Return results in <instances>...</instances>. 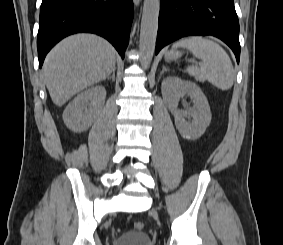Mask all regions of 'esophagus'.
I'll use <instances>...</instances> for the list:
<instances>
[{
	"instance_id": "34e87169",
	"label": "esophagus",
	"mask_w": 283,
	"mask_h": 245,
	"mask_svg": "<svg viewBox=\"0 0 283 245\" xmlns=\"http://www.w3.org/2000/svg\"><path fill=\"white\" fill-rule=\"evenodd\" d=\"M140 1H141V0H134V3H135L136 5H138V4L140 3Z\"/></svg>"
}]
</instances>
